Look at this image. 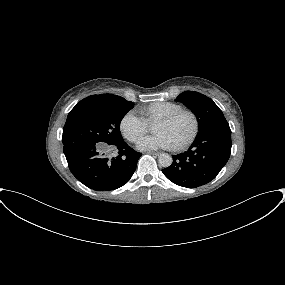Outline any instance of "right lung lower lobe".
Returning <instances> with one entry per match:
<instances>
[{"label":"right lung lower lobe","mask_w":285,"mask_h":285,"mask_svg":"<svg viewBox=\"0 0 285 285\" xmlns=\"http://www.w3.org/2000/svg\"><path fill=\"white\" fill-rule=\"evenodd\" d=\"M111 148L118 151L114 158L106 155ZM63 152L71 173L85 186L97 191H111L126 184L141 156L124 140L113 145L72 142L64 144Z\"/></svg>","instance_id":"right-lung-lower-lobe-1"}]
</instances>
